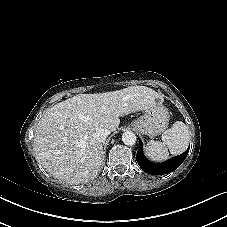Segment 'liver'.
Listing matches in <instances>:
<instances>
[{
	"mask_svg": "<svg viewBox=\"0 0 227 227\" xmlns=\"http://www.w3.org/2000/svg\"><path fill=\"white\" fill-rule=\"evenodd\" d=\"M160 95L145 86L113 92L78 94L49 108L34 132L33 149L39 164L55 178L70 184L97 176L103 162V146L94 138L97 130L115 131L119 117L147 111Z\"/></svg>",
	"mask_w": 227,
	"mask_h": 227,
	"instance_id": "6515ba94",
	"label": "liver"
}]
</instances>
